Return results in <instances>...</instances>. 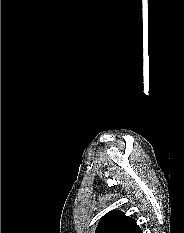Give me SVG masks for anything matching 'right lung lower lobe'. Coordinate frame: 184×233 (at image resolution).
<instances>
[{"mask_svg": "<svg viewBox=\"0 0 184 233\" xmlns=\"http://www.w3.org/2000/svg\"><path fill=\"white\" fill-rule=\"evenodd\" d=\"M138 233H142V231H141V230H139V231H138Z\"/></svg>", "mask_w": 184, "mask_h": 233, "instance_id": "1", "label": "right lung lower lobe"}]
</instances>
